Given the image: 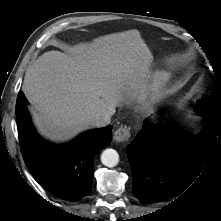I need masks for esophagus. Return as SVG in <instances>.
<instances>
[{
  "mask_svg": "<svg viewBox=\"0 0 221 221\" xmlns=\"http://www.w3.org/2000/svg\"><path fill=\"white\" fill-rule=\"evenodd\" d=\"M130 136H131V133L129 131V128L125 126V127H121L117 129L114 132L113 138L116 142H125L129 140Z\"/></svg>",
  "mask_w": 221,
  "mask_h": 221,
  "instance_id": "1",
  "label": "esophagus"
}]
</instances>
